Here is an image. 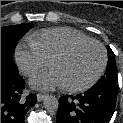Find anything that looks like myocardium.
<instances>
[{
  "label": "myocardium",
  "mask_w": 123,
  "mask_h": 123,
  "mask_svg": "<svg viewBox=\"0 0 123 123\" xmlns=\"http://www.w3.org/2000/svg\"><path fill=\"white\" fill-rule=\"evenodd\" d=\"M87 44H95L100 48V50L102 52V62H101L100 68L97 71V73L94 75V77L84 84L77 85V86L64 85L63 88L68 92L75 93V92L85 91V90L91 88L93 85H95L99 81V79L102 77L103 73L105 72V69L107 67V62H108V54H107V50H106L105 46L100 41L95 40V39L80 40V41H76V42L68 45L66 48H64L61 51H59L58 53H56L49 60V64L51 66L56 60H59V59L69 56L76 49H78L79 47H82L84 45H87Z\"/></svg>",
  "instance_id": "f54148a6"
}]
</instances>
